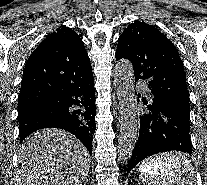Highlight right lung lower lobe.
Here are the masks:
<instances>
[{
    "instance_id": "right-lung-lower-lobe-1",
    "label": "right lung lower lobe",
    "mask_w": 207,
    "mask_h": 185,
    "mask_svg": "<svg viewBox=\"0 0 207 185\" xmlns=\"http://www.w3.org/2000/svg\"><path fill=\"white\" fill-rule=\"evenodd\" d=\"M77 105L80 109L74 110ZM95 89L93 75L72 84L54 100L18 112L20 143L43 128H61L75 135L92 152L95 132Z\"/></svg>"
}]
</instances>
